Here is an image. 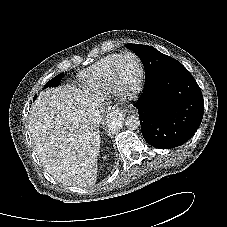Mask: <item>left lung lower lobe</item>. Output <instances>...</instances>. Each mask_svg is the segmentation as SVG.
Listing matches in <instances>:
<instances>
[{
    "mask_svg": "<svg viewBox=\"0 0 227 227\" xmlns=\"http://www.w3.org/2000/svg\"><path fill=\"white\" fill-rule=\"evenodd\" d=\"M142 53L144 63L156 58L148 49ZM134 106L144 139L159 149L174 148L188 141L200 126L204 112L200 87L184 67L146 81Z\"/></svg>",
    "mask_w": 227,
    "mask_h": 227,
    "instance_id": "obj_1",
    "label": "left lung lower lobe"
}]
</instances>
